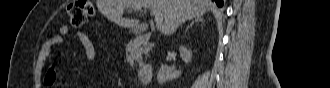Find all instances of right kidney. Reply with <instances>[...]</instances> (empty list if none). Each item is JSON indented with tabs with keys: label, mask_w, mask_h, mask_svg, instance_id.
<instances>
[{
	"label": "right kidney",
	"mask_w": 330,
	"mask_h": 88,
	"mask_svg": "<svg viewBox=\"0 0 330 88\" xmlns=\"http://www.w3.org/2000/svg\"><path fill=\"white\" fill-rule=\"evenodd\" d=\"M180 56L185 63H189L192 58V52L188 50L185 46L181 45L179 48ZM181 75L180 70H175L167 65H162L158 75L157 80L159 84L171 81L178 78Z\"/></svg>",
	"instance_id": "ca27d5eb"
}]
</instances>
